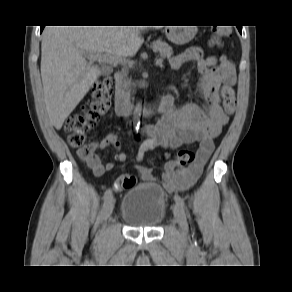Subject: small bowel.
Here are the masks:
<instances>
[{
  "label": "small bowel",
  "instance_id": "1",
  "mask_svg": "<svg viewBox=\"0 0 292 292\" xmlns=\"http://www.w3.org/2000/svg\"><path fill=\"white\" fill-rule=\"evenodd\" d=\"M188 62L195 63L200 74L196 84L198 100L177 105L175 97L168 95V104L163 110L162 117L155 125L142 129L143 134L148 138L140 146L136 157L140 162L147 151L156 147L177 149L199 142L200 147L196 160L191 165L186 167L173 160L168 161L160 178L154 174L151 168L136 167L142 181L157 182L160 180L168 193L188 190L199 179L206 162L214 151L215 139L221 135L228 122V117L220 106V87L235 85L237 78L235 65L226 55H221L219 58L205 57L200 47L193 46L173 57L170 63L174 70H178ZM109 146L117 151L116 161L125 162L127 160L126 153L119 151L120 142L115 133H109L95 144L97 149H105ZM87 164L97 177L104 175L115 166L112 161L103 163L99 153H93L87 160ZM113 188L115 191L122 189L120 179L114 183Z\"/></svg>",
  "mask_w": 292,
  "mask_h": 292
}]
</instances>
